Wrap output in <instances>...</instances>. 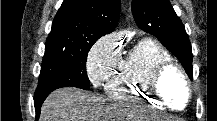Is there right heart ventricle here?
<instances>
[{
    "label": "right heart ventricle",
    "mask_w": 217,
    "mask_h": 121,
    "mask_svg": "<svg viewBox=\"0 0 217 121\" xmlns=\"http://www.w3.org/2000/svg\"><path fill=\"white\" fill-rule=\"evenodd\" d=\"M168 61H172V57L159 43L151 38L139 40L117 61L106 81L107 95L116 101L148 103L162 109L161 104L151 96L148 81L153 69Z\"/></svg>",
    "instance_id": "right-heart-ventricle-1"
}]
</instances>
